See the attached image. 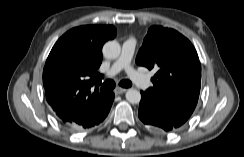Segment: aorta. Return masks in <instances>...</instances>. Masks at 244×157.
<instances>
[{
	"label": "aorta",
	"mask_w": 244,
	"mask_h": 157,
	"mask_svg": "<svg viewBox=\"0 0 244 157\" xmlns=\"http://www.w3.org/2000/svg\"><path fill=\"white\" fill-rule=\"evenodd\" d=\"M121 53V46L120 44L115 41H108L103 46V55L107 59H116ZM126 99L128 102L132 104H138L141 100V94L136 89H128L126 94Z\"/></svg>",
	"instance_id": "1"
}]
</instances>
